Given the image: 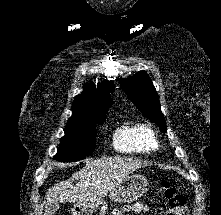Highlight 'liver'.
<instances>
[{
	"mask_svg": "<svg viewBox=\"0 0 221 215\" xmlns=\"http://www.w3.org/2000/svg\"><path fill=\"white\" fill-rule=\"evenodd\" d=\"M136 158L102 157L87 162L84 168L65 182L48 190L43 205L64 202L93 203L114 190L129 174L147 166ZM77 180L74 186L73 181Z\"/></svg>",
	"mask_w": 221,
	"mask_h": 215,
	"instance_id": "obj_1",
	"label": "liver"
}]
</instances>
